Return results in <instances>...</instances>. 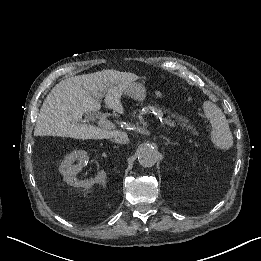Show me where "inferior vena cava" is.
Masks as SVG:
<instances>
[{"instance_id": "1", "label": "inferior vena cava", "mask_w": 261, "mask_h": 261, "mask_svg": "<svg viewBox=\"0 0 261 261\" xmlns=\"http://www.w3.org/2000/svg\"><path fill=\"white\" fill-rule=\"evenodd\" d=\"M114 141L122 144H126L129 142L128 133L125 131H119L118 135L114 137Z\"/></svg>"}]
</instances>
